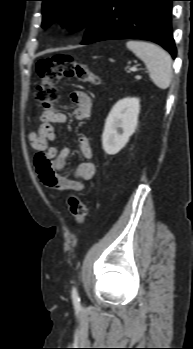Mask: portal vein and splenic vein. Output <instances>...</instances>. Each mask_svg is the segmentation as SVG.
<instances>
[{"label":"portal vein and splenic vein","mask_w":193,"mask_h":349,"mask_svg":"<svg viewBox=\"0 0 193 349\" xmlns=\"http://www.w3.org/2000/svg\"><path fill=\"white\" fill-rule=\"evenodd\" d=\"M138 69L135 67V66H133V67H131L130 68V71H132V72H135V71H137Z\"/></svg>","instance_id":"1"}]
</instances>
